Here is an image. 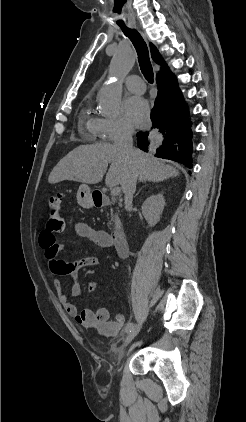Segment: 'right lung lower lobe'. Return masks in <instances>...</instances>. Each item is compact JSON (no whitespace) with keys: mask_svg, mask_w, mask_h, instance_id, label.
<instances>
[{"mask_svg":"<svg viewBox=\"0 0 246 422\" xmlns=\"http://www.w3.org/2000/svg\"><path fill=\"white\" fill-rule=\"evenodd\" d=\"M158 95L151 111L154 127L159 128L163 140L156 151L157 157L182 163L192 168V131L185 104L174 76L156 78ZM148 132L137 133V145L147 151Z\"/></svg>","mask_w":246,"mask_h":422,"instance_id":"obj_1","label":"right lung lower lobe"}]
</instances>
